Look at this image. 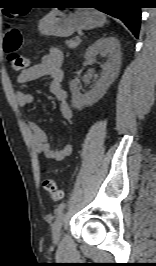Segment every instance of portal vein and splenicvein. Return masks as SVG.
<instances>
[{
	"label": "portal vein and splenic vein",
	"instance_id": "obj_1",
	"mask_svg": "<svg viewBox=\"0 0 156 266\" xmlns=\"http://www.w3.org/2000/svg\"><path fill=\"white\" fill-rule=\"evenodd\" d=\"M76 39H78V40H79L80 38H79V37H76Z\"/></svg>",
	"mask_w": 156,
	"mask_h": 266
}]
</instances>
